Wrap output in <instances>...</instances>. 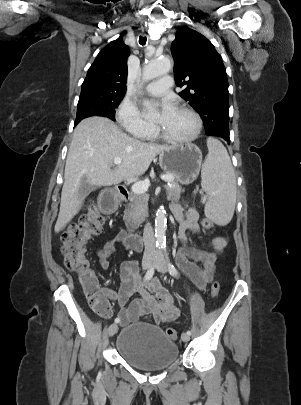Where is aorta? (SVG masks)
I'll return each instance as SVG.
<instances>
[{"label":"aorta","mask_w":301,"mask_h":405,"mask_svg":"<svg viewBox=\"0 0 301 405\" xmlns=\"http://www.w3.org/2000/svg\"><path fill=\"white\" fill-rule=\"evenodd\" d=\"M171 70V61L169 59L150 60L143 70L142 81L148 82L160 75L166 74ZM167 218L166 211L160 207L156 212L155 218V238L156 246L160 249L166 244Z\"/></svg>","instance_id":"1"}]
</instances>
